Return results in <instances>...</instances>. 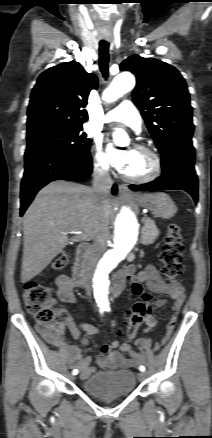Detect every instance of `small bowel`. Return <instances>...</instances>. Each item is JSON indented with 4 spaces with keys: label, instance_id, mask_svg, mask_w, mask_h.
<instances>
[{
    "label": "small bowel",
    "instance_id": "1",
    "mask_svg": "<svg viewBox=\"0 0 212 438\" xmlns=\"http://www.w3.org/2000/svg\"><path fill=\"white\" fill-rule=\"evenodd\" d=\"M122 282H131V291L134 295L143 298L147 293L143 287L145 283L146 288L152 293L159 296V298L151 303V314L145 320V329L147 332L152 329L157 321L152 314L154 307H161L166 304V296H170L173 300V313L174 315L169 320L165 334L162 338V343L166 342L171 336L177 315L185 301V289L179 282H166L162 279L159 271L152 265L146 266L143 270L136 273L134 266H129L123 270L117 277ZM57 295L63 302H70L73 300V288L75 284L73 280L67 275H60L56 278ZM55 315L63 318V322L60 325L61 332L67 328L74 337H79V330L76 327L72 317L68 311L64 308H56ZM83 329L86 332L85 338L82 340V344L86 345L89 339L96 334V328L91 324H83ZM39 331L44 339L51 345L64 350L66 359L70 367H76L80 370V378L87 379L91 374L95 372V367L91 364V357L83 355L82 349L77 345L66 346L61 338V332L59 334L53 332L49 326H39ZM122 352H126L130 358H125ZM144 362V357L141 353L135 351L128 343L119 342L117 340L112 341L110 344L104 345L100 354L97 357V363L102 369H116V368H135Z\"/></svg>",
    "mask_w": 212,
    "mask_h": 438
}]
</instances>
